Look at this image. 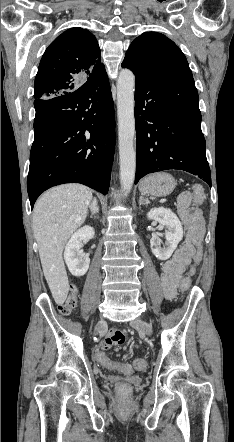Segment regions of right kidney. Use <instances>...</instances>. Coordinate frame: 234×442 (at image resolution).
Segmentation results:
<instances>
[{"mask_svg":"<svg viewBox=\"0 0 234 442\" xmlns=\"http://www.w3.org/2000/svg\"><path fill=\"white\" fill-rule=\"evenodd\" d=\"M95 236L93 227L84 226L78 229L65 246L64 259L72 275L83 276L89 269L90 259L85 256L82 248L84 239H92Z\"/></svg>","mask_w":234,"mask_h":442,"instance_id":"right-kidney-1","label":"right kidney"}]
</instances>
